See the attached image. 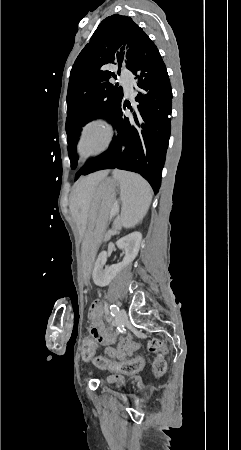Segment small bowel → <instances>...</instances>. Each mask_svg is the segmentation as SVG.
Here are the masks:
<instances>
[{
    "mask_svg": "<svg viewBox=\"0 0 241 450\" xmlns=\"http://www.w3.org/2000/svg\"><path fill=\"white\" fill-rule=\"evenodd\" d=\"M90 315L88 318L90 333L93 335L95 344V352L97 344L102 343L105 347V354L119 361H125L130 358L141 346V344L131 337H119L118 339L108 335L104 327H100L103 323L101 315V305L96 299L90 301ZM94 336H100L101 341H97ZM106 381L110 384L121 386L125 383L124 377L119 372H114L107 376Z\"/></svg>",
    "mask_w": 241,
    "mask_h": 450,
    "instance_id": "c3829d8e",
    "label": "small bowel"
}]
</instances>
